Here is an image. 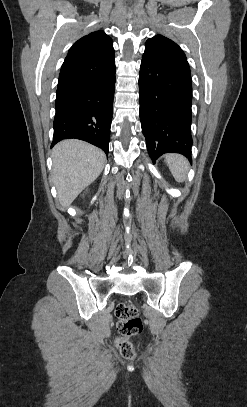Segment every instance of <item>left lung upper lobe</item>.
<instances>
[{
	"mask_svg": "<svg viewBox=\"0 0 247 407\" xmlns=\"http://www.w3.org/2000/svg\"><path fill=\"white\" fill-rule=\"evenodd\" d=\"M145 52L159 57L160 59L178 62L188 65L186 56L181 48L172 40L155 35L146 41Z\"/></svg>",
	"mask_w": 247,
	"mask_h": 407,
	"instance_id": "left-lung-upper-lobe-1",
	"label": "left lung upper lobe"
}]
</instances>
